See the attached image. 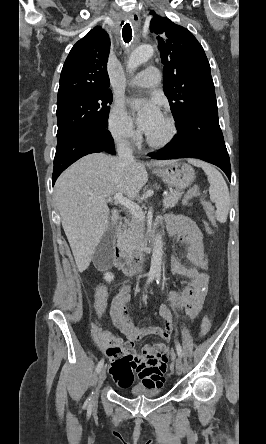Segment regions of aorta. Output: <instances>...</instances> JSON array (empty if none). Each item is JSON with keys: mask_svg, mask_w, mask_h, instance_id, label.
Listing matches in <instances>:
<instances>
[{"mask_svg": "<svg viewBox=\"0 0 266 444\" xmlns=\"http://www.w3.org/2000/svg\"><path fill=\"white\" fill-rule=\"evenodd\" d=\"M154 53V48L151 45H141L137 47L130 55L127 67L130 72L134 71L139 65L148 61ZM163 256V240L162 235L158 234L154 241L153 252L151 257L150 272L154 275L161 273Z\"/></svg>", "mask_w": 266, "mask_h": 444, "instance_id": "aorta-1", "label": "aorta"}]
</instances>
